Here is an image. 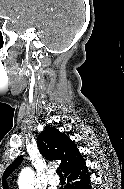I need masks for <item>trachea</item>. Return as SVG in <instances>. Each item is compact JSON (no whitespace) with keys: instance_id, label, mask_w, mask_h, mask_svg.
Wrapping results in <instances>:
<instances>
[{"instance_id":"trachea-1","label":"trachea","mask_w":124,"mask_h":189,"mask_svg":"<svg viewBox=\"0 0 124 189\" xmlns=\"http://www.w3.org/2000/svg\"><path fill=\"white\" fill-rule=\"evenodd\" d=\"M56 173L58 174L59 177H63V174H62L60 168H58V169L56 170Z\"/></svg>"}]
</instances>
